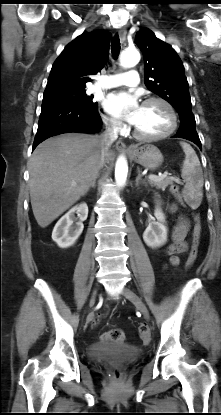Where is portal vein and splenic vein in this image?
<instances>
[{"instance_id": "1", "label": "portal vein and splenic vein", "mask_w": 221, "mask_h": 415, "mask_svg": "<svg viewBox=\"0 0 221 415\" xmlns=\"http://www.w3.org/2000/svg\"><path fill=\"white\" fill-rule=\"evenodd\" d=\"M169 175V173L168 172H164V173H162V174H159V175H149L148 176V179L149 180H157V179H159V178H165V177H167ZM172 179L174 180V181H176L177 183H180V179L178 178V177H172Z\"/></svg>"}]
</instances>
